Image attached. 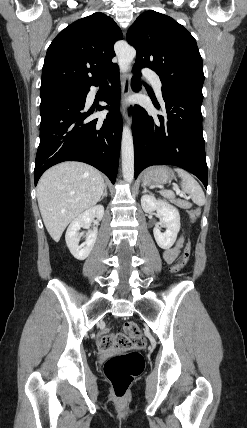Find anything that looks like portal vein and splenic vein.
Here are the masks:
<instances>
[{"label":"portal vein and splenic vein","mask_w":247,"mask_h":428,"mask_svg":"<svg viewBox=\"0 0 247 428\" xmlns=\"http://www.w3.org/2000/svg\"><path fill=\"white\" fill-rule=\"evenodd\" d=\"M174 190L176 191V193L180 196H184V194L179 190V188L174 187Z\"/></svg>","instance_id":"obj_1"}]
</instances>
